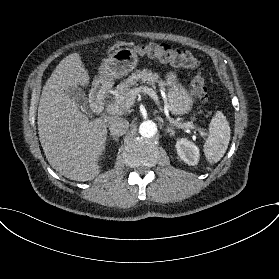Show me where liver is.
Masks as SVG:
<instances>
[{"instance_id":"obj_1","label":"liver","mask_w":279,"mask_h":279,"mask_svg":"<svg viewBox=\"0 0 279 279\" xmlns=\"http://www.w3.org/2000/svg\"><path fill=\"white\" fill-rule=\"evenodd\" d=\"M89 80L80 55L66 56L43 86L37 117L39 140L49 164L66 178L82 182L100 173L98 159L105 150L107 127L115 118L104 115L90 121L69 97V88L87 86ZM96 83L111 82L99 76Z\"/></svg>"}]
</instances>
